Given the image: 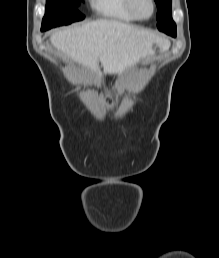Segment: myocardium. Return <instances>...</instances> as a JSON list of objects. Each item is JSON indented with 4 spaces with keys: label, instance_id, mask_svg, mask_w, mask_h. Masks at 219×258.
Segmentation results:
<instances>
[{
    "label": "myocardium",
    "instance_id": "f54148a6",
    "mask_svg": "<svg viewBox=\"0 0 219 258\" xmlns=\"http://www.w3.org/2000/svg\"><path fill=\"white\" fill-rule=\"evenodd\" d=\"M150 3H151V7H152V10H151V13L149 16H141L138 12H137V9H136V6H135V0H126L127 2V6L129 8V10L131 11V13L137 18V19H140V20H148L150 19L154 14H155V11H156V2L155 0H149Z\"/></svg>",
    "mask_w": 219,
    "mask_h": 258
}]
</instances>
